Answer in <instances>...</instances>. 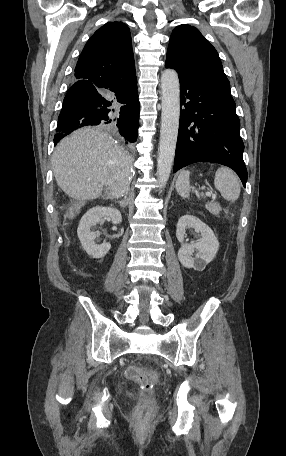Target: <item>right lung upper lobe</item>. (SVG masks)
Instances as JSON below:
<instances>
[{"mask_svg":"<svg viewBox=\"0 0 286 456\" xmlns=\"http://www.w3.org/2000/svg\"><path fill=\"white\" fill-rule=\"evenodd\" d=\"M75 77L108 85L135 77L131 34L122 22L106 23L86 43Z\"/></svg>","mask_w":286,"mask_h":456,"instance_id":"1","label":"right lung upper lobe"}]
</instances>
